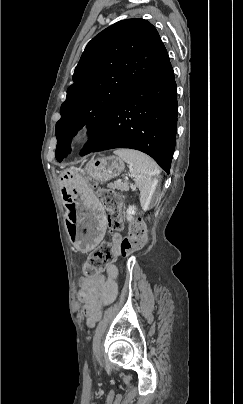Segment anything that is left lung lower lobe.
Masks as SVG:
<instances>
[{
    "mask_svg": "<svg viewBox=\"0 0 243 404\" xmlns=\"http://www.w3.org/2000/svg\"><path fill=\"white\" fill-rule=\"evenodd\" d=\"M177 88L169 58L104 118L80 155L131 148L150 155L169 174L177 131Z\"/></svg>",
    "mask_w": 243,
    "mask_h": 404,
    "instance_id": "0a47b994",
    "label": "left lung lower lobe"
}]
</instances>
